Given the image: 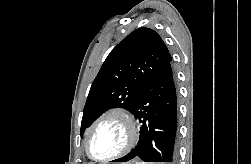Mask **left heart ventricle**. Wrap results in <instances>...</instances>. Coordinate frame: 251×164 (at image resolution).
<instances>
[{
    "label": "left heart ventricle",
    "mask_w": 251,
    "mask_h": 164,
    "mask_svg": "<svg viewBox=\"0 0 251 164\" xmlns=\"http://www.w3.org/2000/svg\"><path fill=\"white\" fill-rule=\"evenodd\" d=\"M126 139L125 125L117 118L106 119L92 133L89 142L91 155L99 159L111 156L123 148Z\"/></svg>",
    "instance_id": "obj_1"
}]
</instances>
